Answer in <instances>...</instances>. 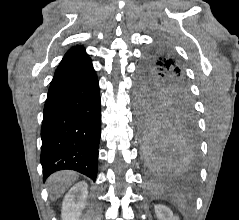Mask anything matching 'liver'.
I'll return each mask as SVG.
<instances>
[{
	"label": "liver",
	"mask_w": 239,
	"mask_h": 220,
	"mask_svg": "<svg viewBox=\"0 0 239 220\" xmlns=\"http://www.w3.org/2000/svg\"><path fill=\"white\" fill-rule=\"evenodd\" d=\"M78 176L72 171H60L48 178V190L52 201L59 199Z\"/></svg>",
	"instance_id": "1"
}]
</instances>
